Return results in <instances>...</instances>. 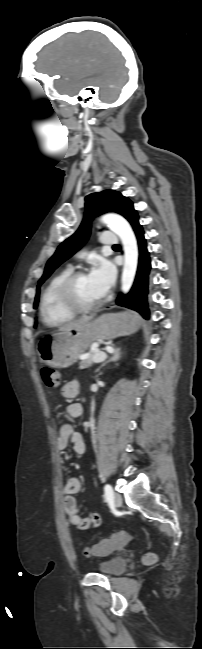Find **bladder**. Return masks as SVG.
Here are the masks:
<instances>
[{
  "label": "bladder",
  "mask_w": 202,
  "mask_h": 649,
  "mask_svg": "<svg viewBox=\"0 0 202 649\" xmlns=\"http://www.w3.org/2000/svg\"><path fill=\"white\" fill-rule=\"evenodd\" d=\"M127 568V560L122 557H115L110 560L101 562L98 566V572L105 575H120Z\"/></svg>",
  "instance_id": "bladder-1"
}]
</instances>
